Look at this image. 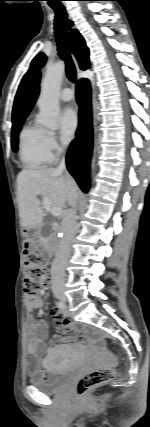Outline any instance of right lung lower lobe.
<instances>
[{"label":"right lung lower lobe","mask_w":150,"mask_h":427,"mask_svg":"<svg viewBox=\"0 0 150 427\" xmlns=\"http://www.w3.org/2000/svg\"><path fill=\"white\" fill-rule=\"evenodd\" d=\"M76 97L80 107L79 127L76 138L67 152L66 163L69 172L80 188L87 192L89 186L87 178L92 152L91 90L87 79H82L78 82Z\"/></svg>","instance_id":"right-lung-lower-lobe-1"}]
</instances>
